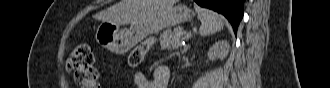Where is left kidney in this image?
I'll use <instances>...</instances> for the list:
<instances>
[{"label": "left kidney", "instance_id": "left-kidney-1", "mask_svg": "<svg viewBox=\"0 0 330 88\" xmlns=\"http://www.w3.org/2000/svg\"><path fill=\"white\" fill-rule=\"evenodd\" d=\"M230 45L226 40L216 42L208 51V58L212 61L216 59L223 60L227 57Z\"/></svg>", "mask_w": 330, "mask_h": 88}]
</instances>
